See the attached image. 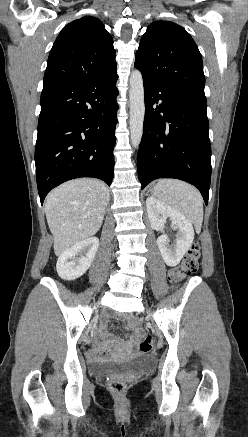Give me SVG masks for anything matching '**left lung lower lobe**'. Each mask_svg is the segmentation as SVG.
Segmentation results:
<instances>
[{
  "mask_svg": "<svg viewBox=\"0 0 248 437\" xmlns=\"http://www.w3.org/2000/svg\"><path fill=\"white\" fill-rule=\"evenodd\" d=\"M143 83L146 110L137 158L141 189L154 179L176 178L196 186L207 205L211 145L206 97L172 90L147 78Z\"/></svg>",
  "mask_w": 248,
  "mask_h": 437,
  "instance_id": "1",
  "label": "left lung lower lobe"
}]
</instances>
